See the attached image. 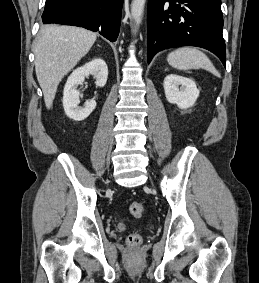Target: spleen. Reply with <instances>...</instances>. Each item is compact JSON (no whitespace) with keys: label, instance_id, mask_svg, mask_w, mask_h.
<instances>
[{"label":"spleen","instance_id":"spleen-1","mask_svg":"<svg viewBox=\"0 0 259 283\" xmlns=\"http://www.w3.org/2000/svg\"><path fill=\"white\" fill-rule=\"evenodd\" d=\"M167 61L169 65L179 70L205 69L213 75L220 77L209 58L201 51L191 47H182L171 52Z\"/></svg>","mask_w":259,"mask_h":283}]
</instances>
